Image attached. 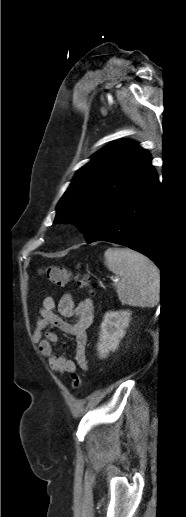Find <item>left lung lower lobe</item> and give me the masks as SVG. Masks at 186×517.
I'll use <instances>...</instances> for the list:
<instances>
[{"mask_svg": "<svg viewBox=\"0 0 186 517\" xmlns=\"http://www.w3.org/2000/svg\"><path fill=\"white\" fill-rule=\"evenodd\" d=\"M159 180L152 165L113 205L89 242L107 241L149 257L163 271L158 250L160 217Z\"/></svg>", "mask_w": 186, "mask_h": 517, "instance_id": "0a47b994", "label": "left lung lower lobe"}]
</instances>
